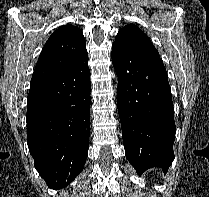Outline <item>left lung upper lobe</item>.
<instances>
[{
    "label": "left lung upper lobe",
    "mask_w": 209,
    "mask_h": 197,
    "mask_svg": "<svg viewBox=\"0 0 209 197\" xmlns=\"http://www.w3.org/2000/svg\"><path fill=\"white\" fill-rule=\"evenodd\" d=\"M113 45L160 57L149 37L134 24H128L120 29Z\"/></svg>",
    "instance_id": "left-lung-upper-lobe-1"
}]
</instances>
